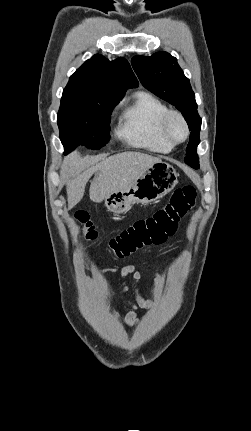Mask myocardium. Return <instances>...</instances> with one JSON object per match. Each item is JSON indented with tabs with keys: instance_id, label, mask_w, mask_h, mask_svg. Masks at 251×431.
<instances>
[{
	"instance_id": "f54148a6",
	"label": "myocardium",
	"mask_w": 251,
	"mask_h": 431,
	"mask_svg": "<svg viewBox=\"0 0 251 431\" xmlns=\"http://www.w3.org/2000/svg\"><path fill=\"white\" fill-rule=\"evenodd\" d=\"M173 118H177L183 124L184 130H185V135H184V138L181 140L174 139L170 133L169 125H170V121ZM160 130H161L163 137L173 146L179 145V144L185 142L190 135L189 124H188L185 116L178 110H168L163 115V117L161 119V123H160Z\"/></svg>"
}]
</instances>
